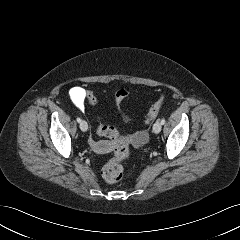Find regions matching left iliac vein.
Here are the masks:
<instances>
[{
	"mask_svg": "<svg viewBox=\"0 0 240 240\" xmlns=\"http://www.w3.org/2000/svg\"><path fill=\"white\" fill-rule=\"evenodd\" d=\"M161 128H162L161 122H160V121H156V122L154 123V125H153V132H154L155 134H158V133H160Z\"/></svg>",
	"mask_w": 240,
	"mask_h": 240,
	"instance_id": "obj_1",
	"label": "left iliac vein"
}]
</instances>
